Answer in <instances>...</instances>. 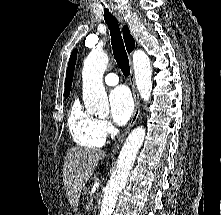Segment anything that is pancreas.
Wrapping results in <instances>:
<instances>
[{"label": "pancreas", "instance_id": "pancreas-1", "mask_svg": "<svg viewBox=\"0 0 221 215\" xmlns=\"http://www.w3.org/2000/svg\"><path fill=\"white\" fill-rule=\"evenodd\" d=\"M88 192H89V188H86V189L84 190V193H83V195L85 196L84 199H85L86 202H87V204H86V209H87V210H88L89 207H90V201H91V198L89 197Z\"/></svg>", "mask_w": 221, "mask_h": 215}]
</instances>
